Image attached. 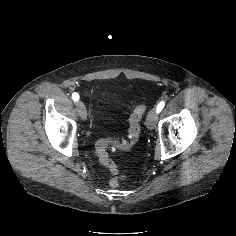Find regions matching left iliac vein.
<instances>
[{"label":"left iliac vein","instance_id":"1","mask_svg":"<svg viewBox=\"0 0 236 236\" xmlns=\"http://www.w3.org/2000/svg\"><path fill=\"white\" fill-rule=\"evenodd\" d=\"M158 117V112L156 109L150 110L146 118V126L148 129H154L156 126V121Z\"/></svg>","mask_w":236,"mask_h":236}]
</instances>
